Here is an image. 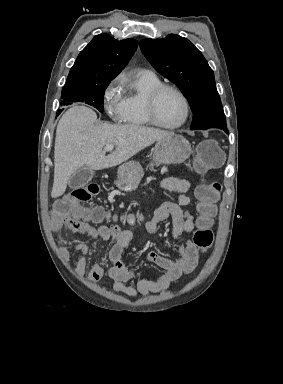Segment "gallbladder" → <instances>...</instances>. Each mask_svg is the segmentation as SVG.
I'll return each mask as SVG.
<instances>
[{
  "label": "gallbladder",
  "instance_id": "1",
  "mask_svg": "<svg viewBox=\"0 0 283 384\" xmlns=\"http://www.w3.org/2000/svg\"><path fill=\"white\" fill-rule=\"evenodd\" d=\"M93 176L92 170H86V168H80L72 178L69 180V188H73L74 186H79L80 188H83V186H86L88 182H90L91 178Z\"/></svg>",
  "mask_w": 283,
  "mask_h": 384
}]
</instances>
